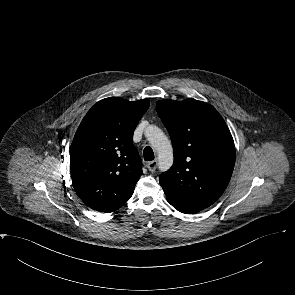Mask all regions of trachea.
I'll list each match as a JSON object with an SVG mask.
<instances>
[{"instance_id": "1", "label": "trachea", "mask_w": 295, "mask_h": 295, "mask_svg": "<svg viewBox=\"0 0 295 295\" xmlns=\"http://www.w3.org/2000/svg\"><path fill=\"white\" fill-rule=\"evenodd\" d=\"M143 155H144V160L145 161H152L154 160V153L153 150L150 146L145 147L144 151H143Z\"/></svg>"}]
</instances>
